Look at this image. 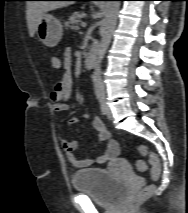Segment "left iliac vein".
Returning <instances> with one entry per match:
<instances>
[{"label": "left iliac vein", "instance_id": "left-iliac-vein-1", "mask_svg": "<svg viewBox=\"0 0 188 213\" xmlns=\"http://www.w3.org/2000/svg\"><path fill=\"white\" fill-rule=\"evenodd\" d=\"M107 118L109 120H112V118H113L112 112L108 106H107Z\"/></svg>", "mask_w": 188, "mask_h": 213}]
</instances>
